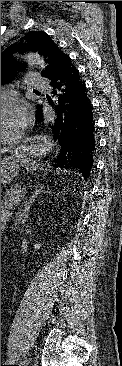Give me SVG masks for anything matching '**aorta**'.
Masks as SVG:
<instances>
[{"mask_svg":"<svg viewBox=\"0 0 122 366\" xmlns=\"http://www.w3.org/2000/svg\"><path fill=\"white\" fill-rule=\"evenodd\" d=\"M23 58L30 66L45 68L47 65L45 57L38 52L28 51L24 54Z\"/></svg>","mask_w":122,"mask_h":366,"instance_id":"obj_1","label":"aorta"}]
</instances>
